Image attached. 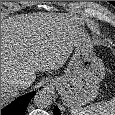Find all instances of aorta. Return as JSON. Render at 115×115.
<instances>
[{
  "mask_svg": "<svg viewBox=\"0 0 115 115\" xmlns=\"http://www.w3.org/2000/svg\"><path fill=\"white\" fill-rule=\"evenodd\" d=\"M34 103L37 107L46 108L52 104V96L46 90L39 91L34 96Z\"/></svg>",
  "mask_w": 115,
  "mask_h": 115,
  "instance_id": "1",
  "label": "aorta"
}]
</instances>
